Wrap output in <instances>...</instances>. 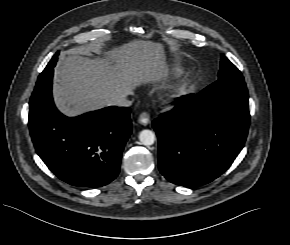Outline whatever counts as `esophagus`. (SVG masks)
<instances>
[{"mask_svg":"<svg viewBox=\"0 0 290 245\" xmlns=\"http://www.w3.org/2000/svg\"><path fill=\"white\" fill-rule=\"evenodd\" d=\"M139 123L142 125H148L150 123V116L147 112H142L138 118Z\"/></svg>","mask_w":290,"mask_h":245,"instance_id":"1","label":"esophagus"}]
</instances>
